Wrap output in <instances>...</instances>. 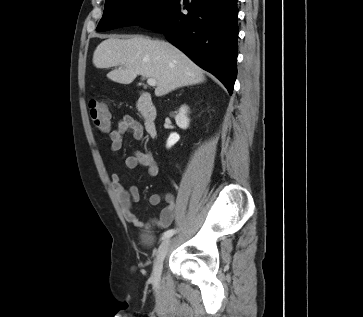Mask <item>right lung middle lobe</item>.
<instances>
[{
    "instance_id": "1",
    "label": "right lung middle lobe",
    "mask_w": 363,
    "mask_h": 317,
    "mask_svg": "<svg viewBox=\"0 0 363 317\" xmlns=\"http://www.w3.org/2000/svg\"><path fill=\"white\" fill-rule=\"evenodd\" d=\"M176 0H106L97 31L143 25L172 7Z\"/></svg>"
}]
</instances>
